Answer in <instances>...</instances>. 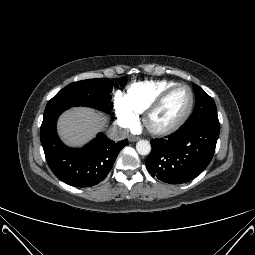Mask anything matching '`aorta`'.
<instances>
[{"mask_svg": "<svg viewBox=\"0 0 255 255\" xmlns=\"http://www.w3.org/2000/svg\"><path fill=\"white\" fill-rule=\"evenodd\" d=\"M136 150L140 155H148L151 152L150 142L147 140H139L136 144Z\"/></svg>", "mask_w": 255, "mask_h": 255, "instance_id": "aorta-1", "label": "aorta"}]
</instances>
